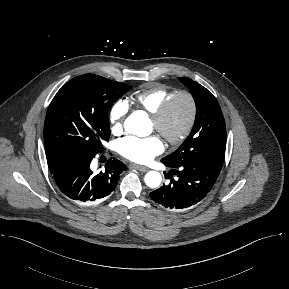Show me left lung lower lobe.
<instances>
[{
	"instance_id": "obj_1",
	"label": "left lung lower lobe",
	"mask_w": 289,
	"mask_h": 289,
	"mask_svg": "<svg viewBox=\"0 0 289 289\" xmlns=\"http://www.w3.org/2000/svg\"><path fill=\"white\" fill-rule=\"evenodd\" d=\"M162 161V160H161ZM166 166L171 167L168 177L177 175L171 179L168 185L150 193L151 199L157 204L170 210H183L201 202L215 184L222 166L210 163L182 164L173 167L162 161Z\"/></svg>"
}]
</instances>
